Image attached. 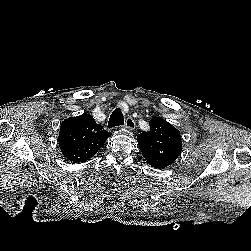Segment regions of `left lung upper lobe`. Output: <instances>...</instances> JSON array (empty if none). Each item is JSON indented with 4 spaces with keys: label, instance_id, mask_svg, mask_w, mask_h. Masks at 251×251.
Segmentation results:
<instances>
[{
    "label": "left lung upper lobe",
    "instance_id": "5c2ea615",
    "mask_svg": "<svg viewBox=\"0 0 251 251\" xmlns=\"http://www.w3.org/2000/svg\"><path fill=\"white\" fill-rule=\"evenodd\" d=\"M150 130L140 133L137 141L143 157L156 169L171 165L182 149L180 131L161 117L149 122Z\"/></svg>",
    "mask_w": 251,
    "mask_h": 251
}]
</instances>
